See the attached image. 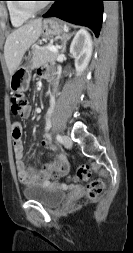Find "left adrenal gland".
I'll return each instance as SVG.
<instances>
[{"label": "left adrenal gland", "instance_id": "1", "mask_svg": "<svg viewBox=\"0 0 133 253\" xmlns=\"http://www.w3.org/2000/svg\"><path fill=\"white\" fill-rule=\"evenodd\" d=\"M74 33L75 32L67 33V34L63 35V37H62L63 45H62V50H61L63 53L66 51L67 41L74 35Z\"/></svg>", "mask_w": 133, "mask_h": 253}]
</instances>
